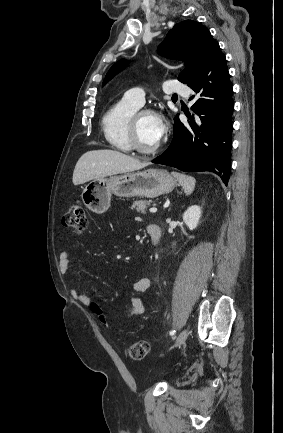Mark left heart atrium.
Segmentation results:
<instances>
[{
    "mask_svg": "<svg viewBox=\"0 0 283 433\" xmlns=\"http://www.w3.org/2000/svg\"><path fill=\"white\" fill-rule=\"evenodd\" d=\"M158 125L154 133V140L156 143H159L163 137L165 131V125L163 121L158 117Z\"/></svg>",
    "mask_w": 283,
    "mask_h": 433,
    "instance_id": "39dd6f15",
    "label": "left heart atrium"
}]
</instances>
